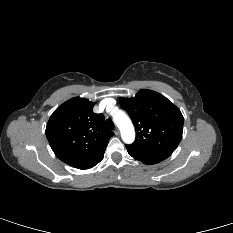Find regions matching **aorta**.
Segmentation results:
<instances>
[{
  "mask_svg": "<svg viewBox=\"0 0 233 233\" xmlns=\"http://www.w3.org/2000/svg\"><path fill=\"white\" fill-rule=\"evenodd\" d=\"M113 120L120 129L122 140L126 144L133 143L135 139V130L128 115L119 110L113 115Z\"/></svg>",
  "mask_w": 233,
  "mask_h": 233,
  "instance_id": "obj_1",
  "label": "aorta"
}]
</instances>
